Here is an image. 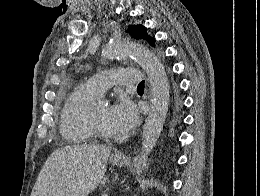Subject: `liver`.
<instances>
[{
    "mask_svg": "<svg viewBox=\"0 0 260 196\" xmlns=\"http://www.w3.org/2000/svg\"><path fill=\"white\" fill-rule=\"evenodd\" d=\"M111 148L65 146L46 160L31 196H89L108 182L106 164Z\"/></svg>",
    "mask_w": 260,
    "mask_h": 196,
    "instance_id": "obj_1",
    "label": "liver"
}]
</instances>
